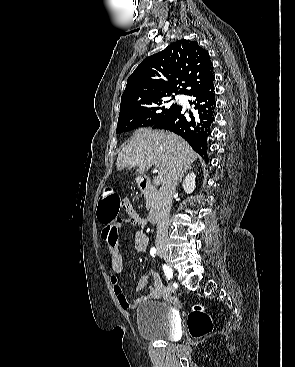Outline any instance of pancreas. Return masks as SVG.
<instances>
[{
    "label": "pancreas",
    "instance_id": "obj_1",
    "mask_svg": "<svg viewBox=\"0 0 295 367\" xmlns=\"http://www.w3.org/2000/svg\"><path fill=\"white\" fill-rule=\"evenodd\" d=\"M145 200H146V208L154 209L157 205V193L154 191H147L144 194Z\"/></svg>",
    "mask_w": 295,
    "mask_h": 367
}]
</instances>
